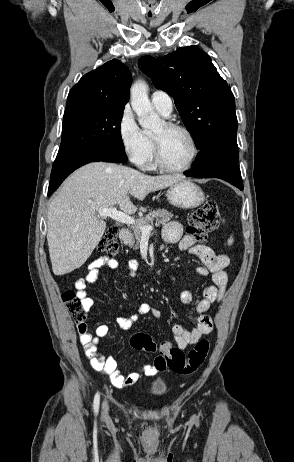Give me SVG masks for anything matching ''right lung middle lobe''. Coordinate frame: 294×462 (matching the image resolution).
<instances>
[{
  "label": "right lung middle lobe",
  "instance_id": "obj_1",
  "mask_svg": "<svg viewBox=\"0 0 294 462\" xmlns=\"http://www.w3.org/2000/svg\"><path fill=\"white\" fill-rule=\"evenodd\" d=\"M124 105L76 103L67 105L63 117L58 157L103 148L124 150L120 133Z\"/></svg>",
  "mask_w": 294,
  "mask_h": 462
}]
</instances>
